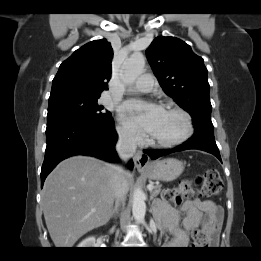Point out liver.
Segmentation results:
<instances>
[{
  "instance_id": "6515ba94",
  "label": "liver",
  "mask_w": 261,
  "mask_h": 261,
  "mask_svg": "<svg viewBox=\"0 0 261 261\" xmlns=\"http://www.w3.org/2000/svg\"><path fill=\"white\" fill-rule=\"evenodd\" d=\"M129 187L133 174L124 172ZM114 203V165L88 156L62 161L47 177L43 213L57 248H71L87 232L105 225Z\"/></svg>"
}]
</instances>
